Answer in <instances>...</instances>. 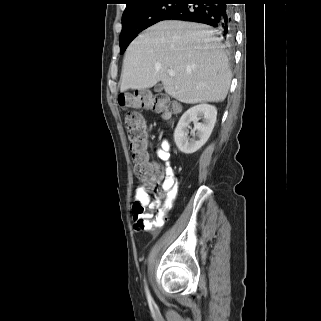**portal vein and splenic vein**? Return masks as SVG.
<instances>
[{"mask_svg":"<svg viewBox=\"0 0 321 321\" xmlns=\"http://www.w3.org/2000/svg\"><path fill=\"white\" fill-rule=\"evenodd\" d=\"M175 75L174 71L169 72V76L173 77Z\"/></svg>","mask_w":321,"mask_h":321,"instance_id":"obj_1","label":"portal vein and splenic vein"}]
</instances>
